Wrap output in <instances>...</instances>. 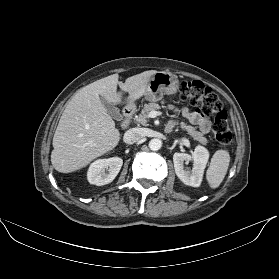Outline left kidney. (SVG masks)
<instances>
[{"label": "left kidney", "mask_w": 279, "mask_h": 279, "mask_svg": "<svg viewBox=\"0 0 279 279\" xmlns=\"http://www.w3.org/2000/svg\"><path fill=\"white\" fill-rule=\"evenodd\" d=\"M208 159L209 152L202 146H197L192 155L187 153H175L173 155L175 173L184 184L198 187L202 182ZM189 161L193 162L192 169L184 166V163Z\"/></svg>", "instance_id": "obj_1"}]
</instances>
